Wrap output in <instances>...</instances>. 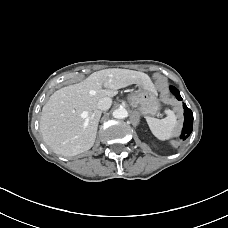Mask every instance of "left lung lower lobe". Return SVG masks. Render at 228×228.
<instances>
[{
  "mask_svg": "<svg viewBox=\"0 0 228 228\" xmlns=\"http://www.w3.org/2000/svg\"><path fill=\"white\" fill-rule=\"evenodd\" d=\"M170 90L178 100H182L178 89H176L174 86H170ZM183 107L185 120L180 138L185 140L193 129V113L189 108H187L186 104H183Z\"/></svg>",
  "mask_w": 228,
  "mask_h": 228,
  "instance_id": "0a47b994",
  "label": "left lung lower lobe"
}]
</instances>
